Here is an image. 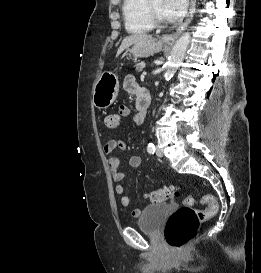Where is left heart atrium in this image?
<instances>
[{
  "instance_id": "1",
  "label": "left heart atrium",
  "mask_w": 261,
  "mask_h": 273,
  "mask_svg": "<svg viewBox=\"0 0 261 273\" xmlns=\"http://www.w3.org/2000/svg\"><path fill=\"white\" fill-rule=\"evenodd\" d=\"M188 0H163V12L167 21L179 20L186 12Z\"/></svg>"
}]
</instances>
